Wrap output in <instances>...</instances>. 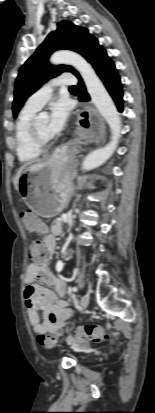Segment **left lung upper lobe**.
Segmentation results:
<instances>
[{
    "label": "left lung upper lobe",
    "mask_w": 155,
    "mask_h": 413,
    "mask_svg": "<svg viewBox=\"0 0 155 413\" xmlns=\"http://www.w3.org/2000/svg\"><path fill=\"white\" fill-rule=\"evenodd\" d=\"M59 49L76 51L92 63L103 47L98 44L93 35L88 33L87 29L78 27L69 21L59 22L57 30L47 36L19 71L15 82L12 108L14 117L17 116L26 99L48 79L62 72H71L79 77L78 72L71 66H53L48 62L49 56Z\"/></svg>",
    "instance_id": "5c2ea615"
}]
</instances>
